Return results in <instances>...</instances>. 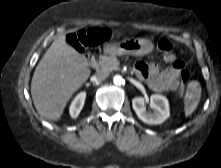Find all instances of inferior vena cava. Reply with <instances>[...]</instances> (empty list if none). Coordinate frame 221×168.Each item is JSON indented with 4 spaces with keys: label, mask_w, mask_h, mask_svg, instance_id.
<instances>
[{
    "label": "inferior vena cava",
    "mask_w": 221,
    "mask_h": 168,
    "mask_svg": "<svg viewBox=\"0 0 221 168\" xmlns=\"http://www.w3.org/2000/svg\"><path fill=\"white\" fill-rule=\"evenodd\" d=\"M109 76V74L107 72H98L96 75H95V79L97 81H103L105 80L107 77Z\"/></svg>",
    "instance_id": "602c4592"
}]
</instances>
